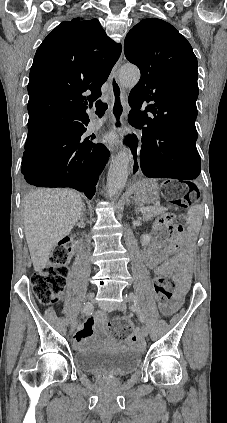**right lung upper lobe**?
Listing matches in <instances>:
<instances>
[{"instance_id":"right-lung-upper-lobe-1","label":"right lung upper lobe","mask_w":227,"mask_h":423,"mask_svg":"<svg viewBox=\"0 0 227 423\" xmlns=\"http://www.w3.org/2000/svg\"><path fill=\"white\" fill-rule=\"evenodd\" d=\"M121 54L97 19L77 17L63 21L37 49L28 83V112L52 106L62 114L28 121L25 149L42 144L79 122L77 111L86 110L101 96ZM85 92H91L85 96ZM75 111V112H72Z\"/></svg>"}]
</instances>
